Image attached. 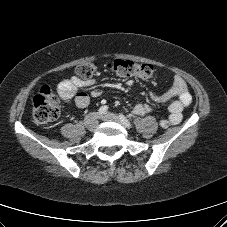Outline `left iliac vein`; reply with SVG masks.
Masks as SVG:
<instances>
[{
  "label": "left iliac vein",
  "mask_w": 227,
  "mask_h": 227,
  "mask_svg": "<svg viewBox=\"0 0 227 227\" xmlns=\"http://www.w3.org/2000/svg\"><path fill=\"white\" fill-rule=\"evenodd\" d=\"M101 119L107 120V121H114V122H117V123L125 126L123 124V122L121 121L120 117H118L117 115H115L113 113H105L104 115L101 116Z\"/></svg>",
  "instance_id": "obj_1"
}]
</instances>
